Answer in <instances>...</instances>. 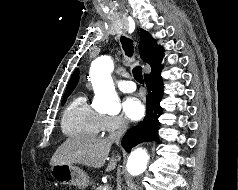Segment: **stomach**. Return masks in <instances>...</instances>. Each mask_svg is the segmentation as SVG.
Returning a JSON list of instances; mask_svg holds the SVG:
<instances>
[{
  "label": "stomach",
  "instance_id": "obj_1",
  "mask_svg": "<svg viewBox=\"0 0 238 190\" xmlns=\"http://www.w3.org/2000/svg\"><path fill=\"white\" fill-rule=\"evenodd\" d=\"M52 177L64 185H73L85 189L90 185L87 173L73 164H58L51 167Z\"/></svg>",
  "mask_w": 238,
  "mask_h": 190
}]
</instances>
